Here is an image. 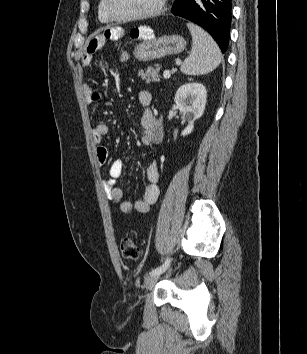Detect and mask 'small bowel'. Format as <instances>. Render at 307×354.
<instances>
[{"label":"small bowel","mask_w":307,"mask_h":354,"mask_svg":"<svg viewBox=\"0 0 307 354\" xmlns=\"http://www.w3.org/2000/svg\"><path fill=\"white\" fill-rule=\"evenodd\" d=\"M121 28H111L105 31L103 38L92 39L83 54L82 65L89 67L94 62V54L99 50L104 40H119L124 36ZM129 35L128 33L126 34ZM84 93L88 102H94L98 99L99 94L91 85L85 84ZM152 94L149 91H142L138 96L139 103L142 107L141 126L142 132L140 136L141 144L145 146L158 144L162 139V126L149 106L152 102ZM109 127L105 123H97L93 128V140L96 146V156L99 164L103 165L107 161L108 151L103 145V139L108 134ZM124 168V162L121 159L114 160L109 168V177L103 181L104 190L107 198L124 214L147 213L151 206L157 201L159 196L158 180L159 171L155 162L150 163L146 167L145 176L147 183L145 185L142 198L131 202L123 199L121 188L117 184V180L121 176Z\"/></svg>","instance_id":"c3829d8e"}]
</instances>
